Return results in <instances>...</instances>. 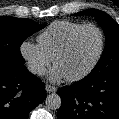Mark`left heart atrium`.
<instances>
[{"mask_svg": "<svg viewBox=\"0 0 119 119\" xmlns=\"http://www.w3.org/2000/svg\"><path fill=\"white\" fill-rule=\"evenodd\" d=\"M49 78L52 81H59L62 80L65 77V75L63 74V72L57 67L55 66L49 73Z\"/></svg>", "mask_w": 119, "mask_h": 119, "instance_id": "39dd6f15", "label": "left heart atrium"}]
</instances>
